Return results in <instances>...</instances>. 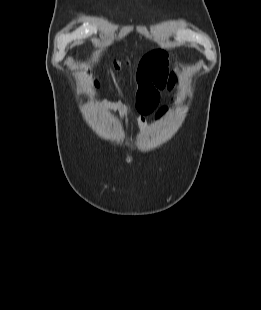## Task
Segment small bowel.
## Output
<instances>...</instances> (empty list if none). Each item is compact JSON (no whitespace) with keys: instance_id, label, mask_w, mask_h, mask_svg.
Masks as SVG:
<instances>
[{"instance_id":"c3829d8e","label":"small bowel","mask_w":261,"mask_h":310,"mask_svg":"<svg viewBox=\"0 0 261 310\" xmlns=\"http://www.w3.org/2000/svg\"><path fill=\"white\" fill-rule=\"evenodd\" d=\"M177 76L170 71V63L166 53L153 52L147 55L140 64L138 109L143 117L150 113L157 105L159 92L164 89L172 90L176 86ZM112 108L125 110V106L118 100H109ZM143 122L145 119L142 118Z\"/></svg>"}]
</instances>
